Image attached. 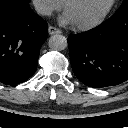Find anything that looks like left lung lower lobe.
I'll list each match as a JSON object with an SVG mask.
<instances>
[{
    "instance_id": "0a47b994",
    "label": "left lung lower lobe",
    "mask_w": 128,
    "mask_h": 128,
    "mask_svg": "<svg viewBox=\"0 0 128 128\" xmlns=\"http://www.w3.org/2000/svg\"><path fill=\"white\" fill-rule=\"evenodd\" d=\"M74 74L93 88L128 80V10L86 32L68 38Z\"/></svg>"
}]
</instances>
